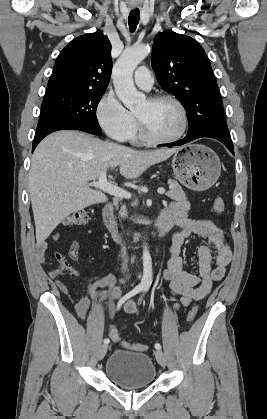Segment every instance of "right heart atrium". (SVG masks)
I'll return each instance as SVG.
<instances>
[{
  "instance_id": "obj_1",
  "label": "right heart atrium",
  "mask_w": 267,
  "mask_h": 419,
  "mask_svg": "<svg viewBox=\"0 0 267 419\" xmlns=\"http://www.w3.org/2000/svg\"><path fill=\"white\" fill-rule=\"evenodd\" d=\"M96 117L99 126L112 139L125 141L130 139L136 128V121L112 93H106L96 108Z\"/></svg>"
}]
</instances>
